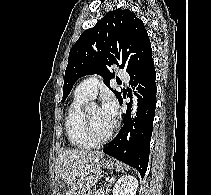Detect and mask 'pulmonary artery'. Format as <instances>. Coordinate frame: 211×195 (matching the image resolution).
I'll return each instance as SVG.
<instances>
[{
  "mask_svg": "<svg viewBox=\"0 0 211 195\" xmlns=\"http://www.w3.org/2000/svg\"><path fill=\"white\" fill-rule=\"evenodd\" d=\"M117 74L124 81H127L129 78L127 72L122 68L117 69ZM98 86H99L98 78L92 76L81 81L79 85L76 87L75 92L79 95L87 97L88 99H92L97 94Z\"/></svg>",
  "mask_w": 211,
  "mask_h": 195,
  "instance_id": "e3ab8cb5",
  "label": "pulmonary artery"
}]
</instances>
